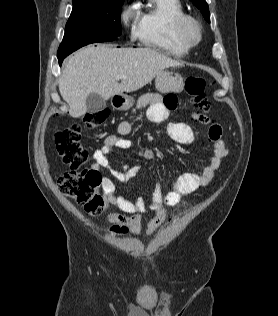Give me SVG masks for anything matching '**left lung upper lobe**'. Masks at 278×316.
<instances>
[{"label":"left lung upper lobe","instance_id":"obj_1","mask_svg":"<svg viewBox=\"0 0 278 316\" xmlns=\"http://www.w3.org/2000/svg\"><path fill=\"white\" fill-rule=\"evenodd\" d=\"M198 9H200L201 13L203 14L204 18L208 23H210V13L209 8L205 0H191Z\"/></svg>","mask_w":278,"mask_h":316}]
</instances>
